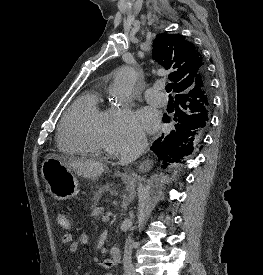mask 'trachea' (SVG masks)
Here are the masks:
<instances>
[{
  "label": "trachea",
  "instance_id": "obj_1",
  "mask_svg": "<svg viewBox=\"0 0 263 275\" xmlns=\"http://www.w3.org/2000/svg\"><path fill=\"white\" fill-rule=\"evenodd\" d=\"M172 88H173L172 83H168V84L166 85V91H167L168 93H170V92L172 91Z\"/></svg>",
  "mask_w": 263,
  "mask_h": 275
}]
</instances>
